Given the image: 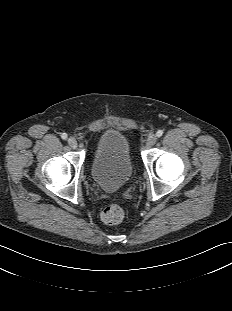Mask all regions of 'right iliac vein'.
<instances>
[{"mask_svg": "<svg viewBox=\"0 0 232 311\" xmlns=\"http://www.w3.org/2000/svg\"><path fill=\"white\" fill-rule=\"evenodd\" d=\"M68 144L71 148L76 149L77 148V140L74 137H70L68 139Z\"/></svg>", "mask_w": 232, "mask_h": 311, "instance_id": "right-iliac-vein-1", "label": "right iliac vein"}]
</instances>
